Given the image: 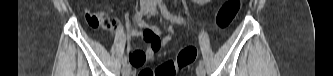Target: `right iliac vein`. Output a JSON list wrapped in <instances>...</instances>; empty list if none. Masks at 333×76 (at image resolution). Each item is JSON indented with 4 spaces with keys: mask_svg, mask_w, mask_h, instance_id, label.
<instances>
[{
    "mask_svg": "<svg viewBox=\"0 0 333 76\" xmlns=\"http://www.w3.org/2000/svg\"><path fill=\"white\" fill-rule=\"evenodd\" d=\"M142 10H143L145 13H148V12L151 10V5H150L149 3L144 4V5L142 6ZM129 71H130L129 66H128V65H127V66H124L123 69H122V74H123V76H128V75H129Z\"/></svg>",
    "mask_w": 333,
    "mask_h": 76,
    "instance_id": "1",
    "label": "right iliac vein"
}]
</instances>
